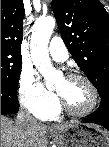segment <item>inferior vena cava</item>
Segmentation results:
<instances>
[{
  "mask_svg": "<svg viewBox=\"0 0 109 147\" xmlns=\"http://www.w3.org/2000/svg\"><path fill=\"white\" fill-rule=\"evenodd\" d=\"M16 125L20 130L24 132H29L37 125V120L28 112L20 109L17 114Z\"/></svg>",
  "mask_w": 109,
  "mask_h": 147,
  "instance_id": "1",
  "label": "inferior vena cava"
}]
</instances>
